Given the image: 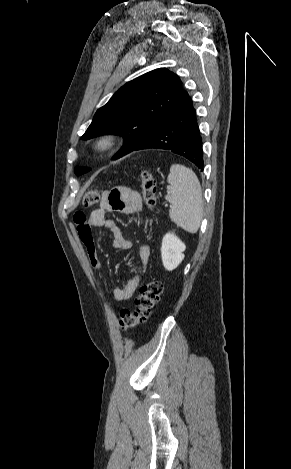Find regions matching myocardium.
Returning <instances> with one entry per match:
<instances>
[{
    "label": "myocardium",
    "instance_id": "1",
    "mask_svg": "<svg viewBox=\"0 0 291 469\" xmlns=\"http://www.w3.org/2000/svg\"><path fill=\"white\" fill-rule=\"evenodd\" d=\"M115 143L116 136L114 134H101L93 140L92 150L96 153L102 154L111 150Z\"/></svg>",
    "mask_w": 291,
    "mask_h": 469
}]
</instances>
